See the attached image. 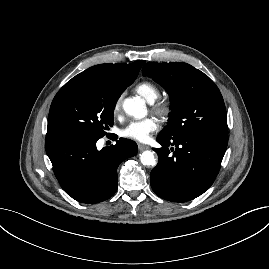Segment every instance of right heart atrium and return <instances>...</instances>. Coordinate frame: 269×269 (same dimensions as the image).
<instances>
[{
	"mask_svg": "<svg viewBox=\"0 0 269 269\" xmlns=\"http://www.w3.org/2000/svg\"><path fill=\"white\" fill-rule=\"evenodd\" d=\"M121 107H122V95H119L114 104H113V108H112V112L114 116H118L121 112Z\"/></svg>",
	"mask_w": 269,
	"mask_h": 269,
	"instance_id": "d8ad5b80",
	"label": "right heart atrium"
}]
</instances>
